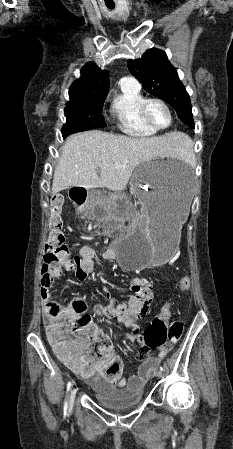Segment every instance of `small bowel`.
Returning a JSON list of instances; mask_svg holds the SVG:
<instances>
[{"label":"small bowel","instance_id":"obj_1","mask_svg":"<svg viewBox=\"0 0 233 449\" xmlns=\"http://www.w3.org/2000/svg\"><path fill=\"white\" fill-rule=\"evenodd\" d=\"M96 256L97 254L92 247L83 246L70 263L43 264L40 276V291L44 302L51 300L54 280L60 276L63 267L74 271L79 281H84L90 274L95 272L94 259ZM100 256L103 260H113L115 259V252L112 249H108L101 253ZM129 287L133 295L128 300H117L111 297L110 293L105 290L108 303L105 306L97 305L95 311L99 316L115 319L130 328L131 331L127 334V339L131 342H136L140 337V328L137 321L147 312L148 306L153 300V288L152 284L143 278L131 279ZM135 330L139 333L136 337L132 334ZM167 351L168 348L161 347L159 349V357L148 356L139 368L138 373L128 379L123 377L122 361L115 356L112 346L107 349L103 356V360L108 362L107 365L102 364L100 359L95 358L92 350L78 351L73 354L82 361L81 365L75 370L83 377L105 378L110 383L124 384L127 382L130 386H137L145 383L153 376L156 367Z\"/></svg>","mask_w":233,"mask_h":449}]
</instances>
